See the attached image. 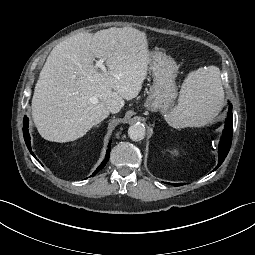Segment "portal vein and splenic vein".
<instances>
[{"mask_svg": "<svg viewBox=\"0 0 255 255\" xmlns=\"http://www.w3.org/2000/svg\"><path fill=\"white\" fill-rule=\"evenodd\" d=\"M104 59H100L98 61H96V67L100 68L102 70V72H107L106 67L103 64Z\"/></svg>", "mask_w": 255, "mask_h": 255, "instance_id": "1", "label": "portal vein and splenic vein"}]
</instances>
